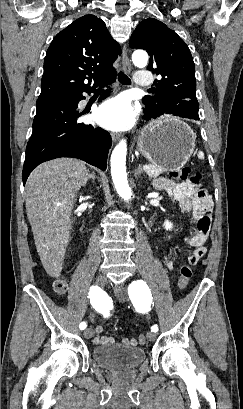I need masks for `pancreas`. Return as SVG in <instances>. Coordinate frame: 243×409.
Wrapping results in <instances>:
<instances>
[{
  "label": "pancreas",
  "mask_w": 243,
  "mask_h": 409,
  "mask_svg": "<svg viewBox=\"0 0 243 409\" xmlns=\"http://www.w3.org/2000/svg\"><path fill=\"white\" fill-rule=\"evenodd\" d=\"M149 167L150 168L145 170V172L150 178H156L164 172L162 168H158L154 165H149Z\"/></svg>",
  "instance_id": "obj_1"
}]
</instances>
